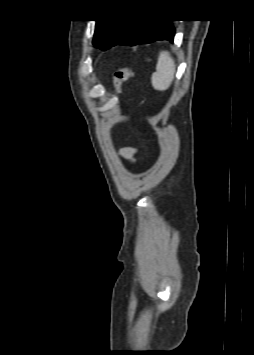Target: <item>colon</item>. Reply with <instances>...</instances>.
<instances>
[{
  "label": "colon",
  "mask_w": 254,
  "mask_h": 355,
  "mask_svg": "<svg viewBox=\"0 0 254 355\" xmlns=\"http://www.w3.org/2000/svg\"><path fill=\"white\" fill-rule=\"evenodd\" d=\"M136 76L135 72L128 68L117 69L113 74V86L116 92H120L122 85Z\"/></svg>",
  "instance_id": "5ec220e1"
}]
</instances>
